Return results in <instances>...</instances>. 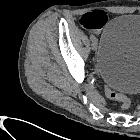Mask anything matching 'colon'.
<instances>
[{
	"instance_id": "colon-1",
	"label": "colon",
	"mask_w": 140,
	"mask_h": 140,
	"mask_svg": "<svg viewBox=\"0 0 140 140\" xmlns=\"http://www.w3.org/2000/svg\"><path fill=\"white\" fill-rule=\"evenodd\" d=\"M106 94L108 98L117 101L121 104L122 108L127 109L130 106V99L123 95L122 93L112 89V88H106Z\"/></svg>"
}]
</instances>
